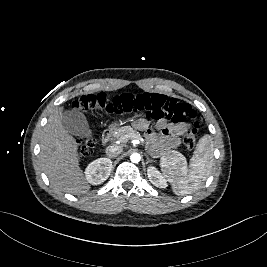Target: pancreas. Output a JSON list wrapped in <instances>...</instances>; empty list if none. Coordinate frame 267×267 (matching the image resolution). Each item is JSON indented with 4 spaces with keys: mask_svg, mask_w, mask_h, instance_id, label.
<instances>
[{
    "mask_svg": "<svg viewBox=\"0 0 267 267\" xmlns=\"http://www.w3.org/2000/svg\"><path fill=\"white\" fill-rule=\"evenodd\" d=\"M125 135H131V136H135L139 139H142L141 135L139 132H136L133 128H131L130 126H123L118 128L115 133L113 134V136L117 139L120 140L121 137L125 136ZM176 155V151H169L166 153L162 154V157L164 159H173V157Z\"/></svg>",
    "mask_w": 267,
    "mask_h": 267,
    "instance_id": "obj_1",
    "label": "pancreas"
}]
</instances>
